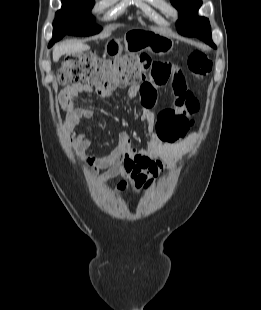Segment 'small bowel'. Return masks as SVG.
I'll return each mask as SVG.
<instances>
[{"label": "small bowel", "mask_w": 261, "mask_h": 310, "mask_svg": "<svg viewBox=\"0 0 261 310\" xmlns=\"http://www.w3.org/2000/svg\"><path fill=\"white\" fill-rule=\"evenodd\" d=\"M167 85L171 86L175 95L174 105L162 108L155 114L151 107L157 90ZM91 92V87L83 85H72L63 90V98L71 106L65 121L67 133L75 140V150L90 167L92 176L104 170L98 177L101 183L122 177L117 186L120 193L127 189L137 193L147 190L163 170L176 165L194 139L193 133L184 137L194 122L193 116L198 112L199 104L187 87L182 69L169 61L155 62L151 78L128 91L130 97L140 96L146 107L141 114V120L147 123L150 137L146 148H134L130 135L121 132L118 145L110 154L97 157L85 153L92 135L77 134L76 127L81 120L92 118L93 110L73 105L79 94ZM97 93L102 98H108L112 95V90Z\"/></svg>", "instance_id": "1"}]
</instances>
